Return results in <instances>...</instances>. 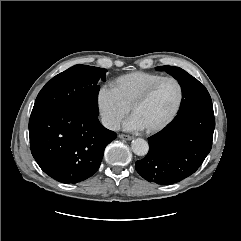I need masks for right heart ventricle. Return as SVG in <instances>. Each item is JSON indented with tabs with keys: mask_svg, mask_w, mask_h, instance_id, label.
<instances>
[{
	"mask_svg": "<svg viewBox=\"0 0 241 241\" xmlns=\"http://www.w3.org/2000/svg\"><path fill=\"white\" fill-rule=\"evenodd\" d=\"M164 77L158 73L137 71L114 80L112 88L120 100L130 108L134 100L152 83Z\"/></svg>",
	"mask_w": 241,
	"mask_h": 241,
	"instance_id": "1",
	"label": "right heart ventricle"
}]
</instances>
